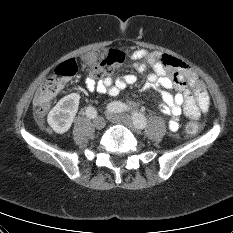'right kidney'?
<instances>
[{"label": "right kidney", "mask_w": 233, "mask_h": 233, "mask_svg": "<svg viewBox=\"0 0 233 233\" xmlns=\"http://www.w3.org/2000/svg\"><path fill=\"white\" fill-rule=\"evenodd\" d=\"M80 95L71 93L58 101L48 114V124L59 134L67 132L78 111Z\"/></svg>", "instance_id": "ca27d5eb"}]
</instances>
